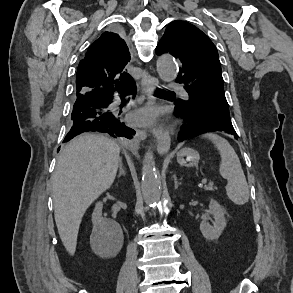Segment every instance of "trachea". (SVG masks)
I'll list each match as a JSON object with an SVG mask.
<instances>
[{"mask_svg": "<svg viewBox=\"0 0 293 293\" xmlns=\"http://www.w3.org/2000/svg\"><path fill=\"white\" fill-rule=\"evenodd\" d=\"M161 93H170V92H168V91H165V90H159Z\"/></svg>", "mask_w": 293, "mask_h": 293, "instance_id": "obj_1", "label": "trachea"}]
</instances>
